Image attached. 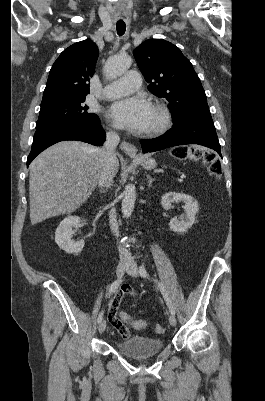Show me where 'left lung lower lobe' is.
I'll list each match as a JSON object with an SVG mask.
<instances>
[{"label": "left lung lower lobe", "mask_w": 265, "mask_h": 401, "mask_svg": "<svg viewBox=\"0 0 265 401\" xmlns=\"http://www.w3.org/2000/svg\"><path fill=\"white\" fill-rule=\"evenodd\" d=\"M144 153L162 150L168 147L199 144L220 153V144L211 114H194L181 121L174 122L172 129L154 139L140 140Z\"/></svg>", "instance_id": "left-lung-lower-lobe-1"}]
</instances>
